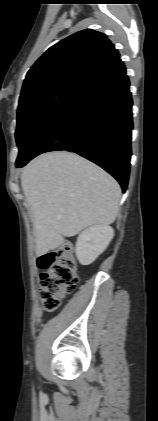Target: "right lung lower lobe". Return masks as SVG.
<instances>
[{
	"instance_id": "98d812e1",
	"label": "right lung lower lobe",
	"mask_w": 158,
	"mask_h": 421,
	"mask_svg": "<svg viewBox=\"0 0 158 421\" xmlns=\"http://www.w3.org/2000/svg\"><path fill=\"white\" fill-rule=\"evenodd\" d=\"M131 108L126 68L117 59L83 84L16 167L44 152H75L105 169L125 192L131 157Z\"/></svg>"
}]
</instances>
